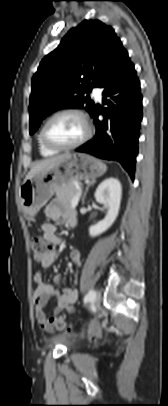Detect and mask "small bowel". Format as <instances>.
<instances>
[{"label": "small bowel", "mask_w": 168, "mask_h": 406, "mask_svg": "<svg viewBox=\"0 0 168 406\" xmlns=\"http://www.w3.org/2000/svg\"><path fill=\"white\" fill-rule=\"evenodd\" d=\"M45 214L53 222H47L42 225V237L54 246L60 245L63 239L57 235L56 222L64 218L71 225L76 222V212L73 208L62 203L60 200H53L47 205ZM56 255L57 250L53 249L48 259L41 263V270L37 271L33 276V281L37 285L34 293L35 317L37 323L46 331L53 330L52 324L46 314L47 306L51 300H55L56 302L54 309L56 315H59L64 310L70 313H76L74 304L78 297V291L75 287H66L58 290L55 285H60L62 282V276L60 274L54 279L55 285L43 281L42 270L49 269L53 265ZM70 260L74 265L80 266L82 262L80 252L78 250H72L70 252Z\"/></svg>", "instance_id": "1"}]
</instances>
